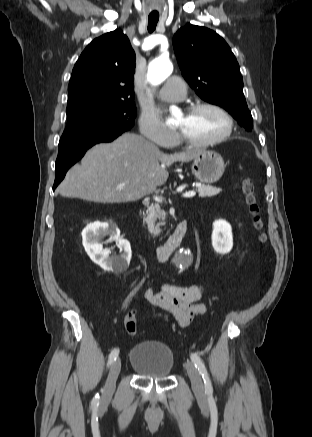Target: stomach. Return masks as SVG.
I'll return each mask as SVG.
<instances>
[{
	"label": "stomach",
	"mask_w": 312,
	"mask_h": 437,
	"mask_svg": "<svg viewBox=\"0 0 312 437\" xmlns=\"http://www.w3.org/2000/svg\"><path fill=\"white\" fill-rule=\"evenodd\" d=\"M224 169L225 164L221 155L210 150H201L191 164V171L195 178L207 184L218 181Z\"/></svg>",
	"instance_id": "obj_1"
}]
</instances>
